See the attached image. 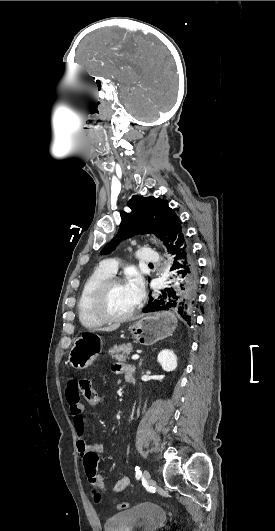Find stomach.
Here are the masks:
<instances>
[{
	"label": "stomach",
	"mask_w": 275,
	"mask_h": 531,
	"mask_svg": "<svg viewBox=\"0 0 275 531\" xmlns=\"http://www.w3.org/2000/svg\"><path fill=\"white\" fill-rule=\"evenodd\" d=\"M177 319L174 313L162 311L154 315H142L135 319L129 329L133 339L140 345H154L157 341L170 337L177 327ZM103 341L100 335L94 331H87L81 337H77L71 347L68 363L74 369H87L102 353Z\"/></svg>",
	"instance_id": "1"
}]
</instances>
